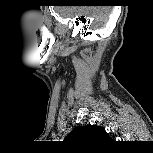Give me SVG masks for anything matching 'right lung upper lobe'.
Segmentation results:
<instances>
[{
	"label": "right lung upper lobe",
	"mask_w": 153,
	"mask_h": 153,
	"mask_svg": "<svg viewBox=\"0 0 153 153\" xmlns=\"http://www.w3.org/2000/svg\"><path fill=\"white\" fill-rule=\"evenodd\" d=\"M66 140L83 147H92L110 140L104 128L87 125L74 128L66 137Z\"/></svg>",
	"instance_id": "cb5924a9"
}]
</instances>
